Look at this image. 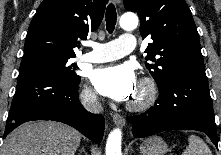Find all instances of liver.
I'll return each mask as SVG.
<instances>
[{
  "mask_svg": "<svg viewBox=\"0 0 221 155\" xmlns=\"http://www.w3.org/2000/svg\"><path fill=\"white\" fill-rule=\"evenodd\" d=\"M81 137L59 122H26L7 136L2 155H74Z\"/></svg>",
  "mask_w": 221,
  "mask_h": 155,
  "instance_id": "6515ba94",
  "label": "liver"
}]
</instances>
